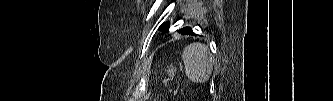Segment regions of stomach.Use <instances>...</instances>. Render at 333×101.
Returning a JSON list of instances; mask_svg holds the SVG:
<instances>
[{"label":"stomach","instance_id":"0dacf381","mask_svg":"<svg viewBox=\"0 0 333 101\" xmlns=\"http://www.w3.org/2000/svg\"><path fill=\"white\" fill-rule=\"evenodd\" d=\"M176 69L171 65L170 68L168 69L167 73L170 77H173L175 74Z\"/></svg>","mask_w":333,"mask_h":101}]
</instances>
